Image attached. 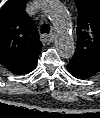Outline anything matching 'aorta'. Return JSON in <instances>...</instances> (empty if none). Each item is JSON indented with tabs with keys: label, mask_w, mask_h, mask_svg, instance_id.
Listing matches in <instances>:
<instances>
[{
	"label": "aorta",
	"mask_w": 100,
	"mask_h": 118,
	"mask_svg": "<svg viewBox=\"0 0 100 118\" xmlns=\"http://www.w3.org/2000/svg\"><path fill=\"white\" fill-rule=\"evenodd\" d=\"M43 10L57 30L55 47L58 54L65 59L73 57L75 44L72 23L65 7L58 0H46Z\"/></svg>",
	"instance_id": "obj_1"
}]
</instances>
